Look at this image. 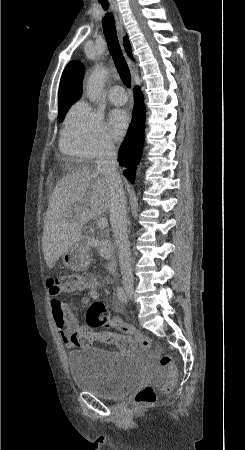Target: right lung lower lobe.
I'll return each mask as SVG.
<instances>
[{
	"mask_svg": "<svg viewBox=\"0 0 245 450\" xmlns=\"http://www.w3.org/2000/svg\"><path fill=\"white\" fill-rule=\"evenodd\" d=\"M135 97L133 121L118 152L120 165L126 167L123 173L131 183H134L136 166L140 162L145 127V106L139 87L135 89Z\"/></svg>",
	"mask_w": 245,
	"mask_h": 450,
	"instance_id": "obj_1",
	"label": "right lung lower lobe"
}]
</instances>
